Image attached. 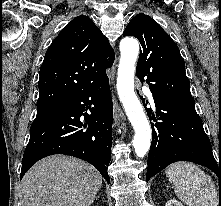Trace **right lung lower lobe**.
<instances>
[{"instance_id": "right-lung-lower-lobe-1", "label": "right lung lower lobe", "mask_w": 221, "mask_h": 206, "mask_svg": "<svg viewBox=\"0 0 221 206\" xmlns=\"http://www.w3.org/2000/svg\"><path fill=\"white\" fill-rule=\"evenodd\" d=\"M87 109L91 114L86 113ZM112 119L108 77L76 98L38 110L30 128L20 179L38 160L64 154L91 163L109 182L107 167L111 158Z\"/></svg>"}]
</instances>
